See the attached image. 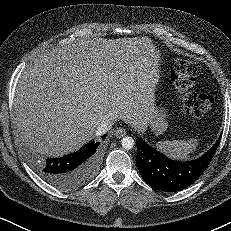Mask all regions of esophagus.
I'll return each mask as SVG.
<instances>
[{
	"instance_id": "1",
	"label": "esophagus",
	"mask_w": 231,
	"mask_h": 231,
	"mask_svg": "<svg viewBox=\"0 0 231 231\" xmlns=\"http://www.w3.org/2000/svg\"><path fill=\"white\" fill-rule=\"evenodd\" d=\"M127 134V131L124 128H117L116 130H114V135L117 138H122Z\"/></svg>"
}]
</instances>
